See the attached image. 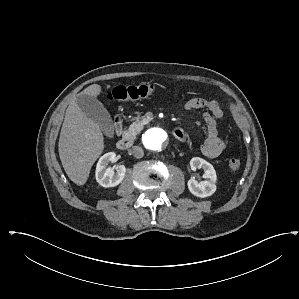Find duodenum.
Here are the masks:
<instances>
[{
	"mask_svg": "<svg viewBox=\"0 0 299 299\" xmlns=\"http://www.w3.org/2000/svg\"><path fill=\"white\" fill-rule=\"evenodd\" d=\"M114 126H115V130L118 133L122 131L123 121H122V118L120 116L115 117ZM172 133H173L174 137L179 139V140H184L185 139L184 131L182 129L178 128V127L173 128ZM131 145H132V140H130L129 138H121L117 142V148L119 150H127L131 147Z\"/></svg>",
	"mask_w": 299,
	"mask_h": 299,
	"instance_id": "410a0bca",
	"label": "duodenum"
}]
</instances>
